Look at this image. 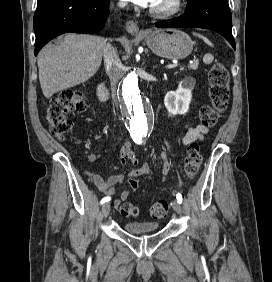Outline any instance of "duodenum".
<instances>
[{
	"label": "duodenum",
	"mask_w": 272,
	"mask_h": 282,
	"mask_svg": "<svg viewBox=\"0 0 272 282\" xmlns=\"http://www.w3.org/2000/svg\"><path fill=\"white\" fill-rule=\"evenodd\" d=\"M97 97L100 101L105 102L109 99V92L103 82L99 83L97 90Z\"/></svg>",
	"instance_id": "410a0bca"
}]
</instances>
